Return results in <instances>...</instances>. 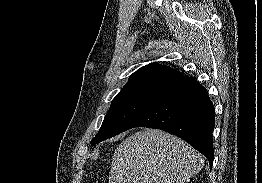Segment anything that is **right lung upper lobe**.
<instances>
[{
    "label": "right lung upper lobe",
    "mask_w": 262,
    "mask_h": 183,
    "mask_svg": "<svg viewBox=\"0 0 262 183\" xmlns=\"http://www.w3.org/2000/svg\"><path fill=\"white\" fill-rule=\"evenodd\" d=\"M180 77H182V74L170 67L151 63L133 73L119 93L147 90L159 91Z\"/></svg>",
    "instance_id": "1"
}]
</instances>
